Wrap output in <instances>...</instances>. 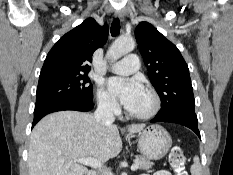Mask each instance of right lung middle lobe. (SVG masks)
I'll return each instance as SVG.
<instances>
[{
  "instance_id": "right-lung-middle-lobe-1",
  "label": "right lung middle lobe",
  "mask_w": 233,
  "mask_h": 175,
  "mask_svg": "<svg viewBox=\"0 0 233 175\" xmlns=\"http://www.w3.org/2000/svg\"><path fill=\"white\" fill-rule=\"evenodd\" d=\"M88 73L40 77L35 107L54 101L92 102L93 87Z\"/></svg>"
}]
</instances>
